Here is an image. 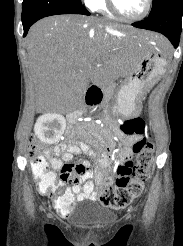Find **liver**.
I'll list each match as a JSON object with an SVG mask.
<instances>
[{
    "mask_svg": "<svg viewBox=\"0 0 183 246\" xmlns=\"http://www.w3.org/2000/svg\"><path fill=\"white\" fill-rule=\"evenodd\" d=\"M133 36L151 40L159 51L168 47L162 36L96 17L58 15L35 23L26 49L39 102L67 113L81 103L89 81L106 86L127 77L137 60Z\"/></svg>",
    "mask_w": 183,
    "mask_h": 246,
    "instance_id": "6515ba94",
    "label": "liver"
}]
</instances>
